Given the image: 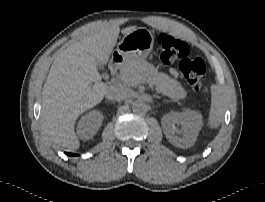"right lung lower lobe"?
<instances>
[{
    "label": "right lung lower lobe",
    "mask_w": 265,
    "mask_h": 202,
    "mask_svg": "<svg viewBox=\"0 0 265 202\" xmlns=\"http://www.w3.org/2000/svg\"><path fill=\"white\" fill-rule=\"evenodd\" d=\"M66 154H68V153H66ZM69 155H71V156H75V154H69Z\"/></svg>",
    "instance_id": "98d812e1"
}]
</instances>
